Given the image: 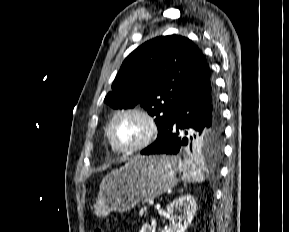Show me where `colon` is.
I'll list each match as a JSON object with an SVG mask.
<instances>
[{"mask_svg": "<svg viewBox=\"0 0 289 232\" xmlns=\"http://www.w3.org/2000/svg\"><path fill=\"white\" fill-rule=\"evenodd\" d=\"M93 232H104V231L102 229H100V228H97Z\"/></svg>", "mask_w": 289, "mask_h": 232, "instance_id": "5ec220e1", "label": "colon"}]
</instances>
